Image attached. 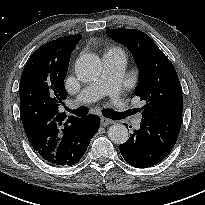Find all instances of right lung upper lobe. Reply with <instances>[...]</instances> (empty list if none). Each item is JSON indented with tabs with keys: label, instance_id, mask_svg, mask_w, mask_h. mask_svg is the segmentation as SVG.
Here are the masks:
<instances>
[{
	"label": "right lung upper lobe",
	"instance_id": "1",
	"mask_svg": "<svg viewBox=\"0 0 205 205\" xmlns=\"http://www.w3.org/2000/svg\"><path fill=\"white\" fill-rule=\"evenodd\" d=\"M80 39L81 35H71L45 43L31 55L22 72L19 93L23 127L33 149L46 161L67 128L79 120L66 118L58 106L67 97L64 79Z\"/></svg>",
	"mask_w": 205,
	"mask_h": 205
}]
</instances>
